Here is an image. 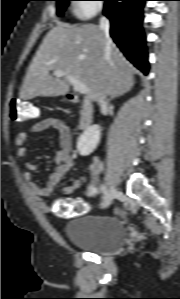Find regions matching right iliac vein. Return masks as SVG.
I'll use <instances>...</instances> for the list:
<instances>
[{
    "label": "right iliac vein",
    "instance_id": "obj_1",
    "mask_svg": "<svg viewBox=\"0 0 180 299\" xmlns=\"http://www.w3.org/2000/svg\"><path fill=\"white\" fill-rule=\"evenodd\" d=\"M117 193H118L117 189L114 188L113 186H110L108 192L106 193V195L103 198L101 207L107 208L111 204L112 200L115 198Z\"/></svg>",
    "mask_w": 180,
    "mask_h": 299
}]
</instances>
